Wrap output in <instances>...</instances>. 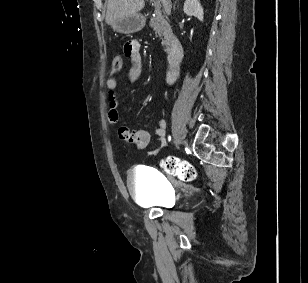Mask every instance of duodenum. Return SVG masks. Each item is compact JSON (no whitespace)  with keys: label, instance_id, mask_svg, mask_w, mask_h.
<instances>
[{"label":"duodenum","instance_id":"duodenum-1","mask_svg":"<svg viewBox=\"0 0 308 283\" xmlns=\"http://www.w3.org/2000/svg\"><path fill=\"white\" fill-rule=\"evenodd\" d=\"M183 56V46L179 39L174 38L171 42V48L168 53V62L171 70H177L181 57Z\"/></svg>","mask_w":308,"mask_h":283}]
</instances>
